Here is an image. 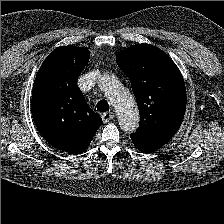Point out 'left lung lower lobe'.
I'll use <instances>...</instances> for the list:
<instances>
[{"label":"left lung lower lobe","instance_id":"obj_1","mask_svg":"<svg viewBox=\"0 0 224 224\" xmlns=\"http://www.w3.org/2000/svg\"><path fill=\"white\" fill-rule=\"evenodd\" d=\"M130 137L136 148L145 153L155 151L164 145L162 142L138 131L130 134Z\"/></svg>","mask_w":224,"mask_h":224}]
</instances>
